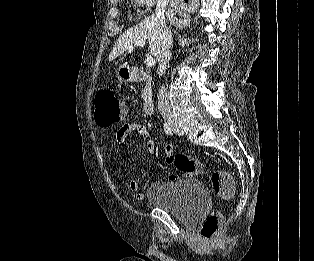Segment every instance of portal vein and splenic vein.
Returning a JSON list of instances; mask_svg holds the SVG:
<instances>
[{"label": "portal vein and splenic vein", "instance_id": "1", "mask_svg": "<svg viewBox=\"0 0 314 261\" xmlns=\"http://www.w3.org/2000/svg\"><path fill=\"white\" fill-rule=\"evenodd\" d=\"M144 45H145V41H138V42L135 43L134 46L128 47V50H129V51H132V50H133V47H135V46L144 47ZM146 65H147L148 67H153V66L155 65V59H154L152 56L147 57V59H146Z\"/></svg>", "mask_w": 314, "mask_h": 261}]
</instances>
